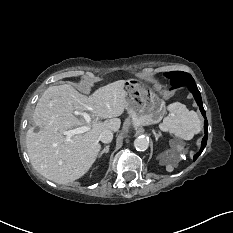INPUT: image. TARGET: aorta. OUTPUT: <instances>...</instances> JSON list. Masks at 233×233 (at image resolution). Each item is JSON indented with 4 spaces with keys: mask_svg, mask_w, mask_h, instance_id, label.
<instances>
[{
    "mask_svg": "<svg viewBox=\"0 0 233 233\" xmlns=\"http://www.w3.org/2000/svg\"><path fill=\"white\" fill-rule=\"evenodd\" d=\"M134 147L138 151H145L149 147V139L145 136H139L134 140Z\"/></svg>",
    "mask_w": 233,
    "mask_h": 233,
    "instance_id": "aorta-1",
    "label": "aorta"
}]
</instances>
